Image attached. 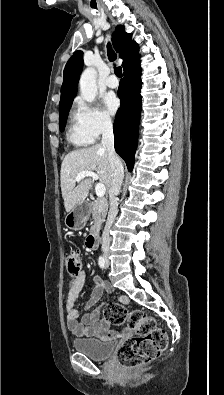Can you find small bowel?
<instances>
[{
	"label": "small bowel",
	"instance_id": "small-bowel-1",
	"mask_svg": "<svg viewBox=\"0 0 224 395\" xmlns=\"http://www.w3.org/2000/svg\"><path fill=\"white\" fill-rule=\"evenodd\" d=\"M86 273L80 272L73 276L69 282L68 298L65 302L66 325L70 332L79 337L105 338L112 336L109 331V322L102 316L101 308H96L92 312L83 315L79 321V312L75 307V301L86 281ZM95 287L91 297L85 304V308H91L102 296L104 290H110L111 286L100 277L93 278ZM121 301L127 302L126 296H121Z\"/></svg>",
	"mask_w": 224,
	"mask_h": 395
}]
</instances>
